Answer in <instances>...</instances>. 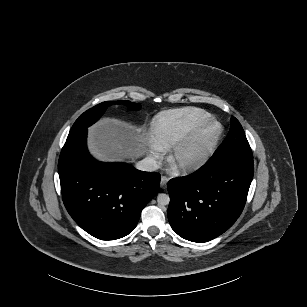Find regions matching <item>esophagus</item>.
Masks as SVG:
<instances>
[{"label":"esophagus","mask_w":307,"mask_h":307,"mask_svg":"<svg viewBox=\"0 0 307 307\" xmlns=\"http://www.w3.org/2000/svg\"><path fill=\"white\" fill-rule=\"evenodd\" d=\"M168 180H169V178L167 176L161 177L160 187L162 189H165L167 187Z\"/></svg>","instance_id":"esophagus-1"}]
</instances>
